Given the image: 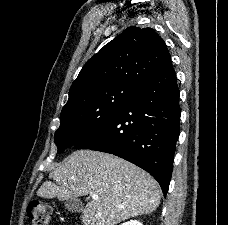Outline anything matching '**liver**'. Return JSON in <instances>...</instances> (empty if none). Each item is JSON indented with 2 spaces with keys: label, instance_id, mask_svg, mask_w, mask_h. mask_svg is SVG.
Returning <instances> with one entry per match:
<instances>
[{
  "label": "liver",
  "instance_id": "1",
  "mask_svg": "<svg viewBox=\"0 0 228 225\" xmlns=\"http://www.w3.org/2000/svg\"><path fill=\"white\" fill-rule=\"evenodd\" d=\"M37 191L38 197L68 201L81 195H98L83 209L82 225H118L149 215L160 205V187L139 167L124 159L81 149L65 159Z\"/></svg>",
  "mask_w": 228,
  "mask_h": 225
}]
</instances>
